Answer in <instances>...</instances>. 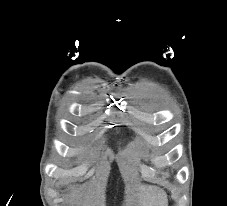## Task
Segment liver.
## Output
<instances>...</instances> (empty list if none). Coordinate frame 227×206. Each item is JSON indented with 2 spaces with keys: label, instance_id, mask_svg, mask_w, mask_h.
Masks as SVG:
<instances>
[{
  "label": "liver",
  "instance_id": "6515ba94",
  "mask_svg": "<svg viewBox=\"0 0 227 206\" xmlns=\"http://www.w3.org/2000/svg\"><path fill=\"white\" fill-rule=\"evenodd\" d=\"M77 191H75V194ZM137 199L139 206H165L166 193L155 186H142L138 189Z\"/></svg>",
  "mask_w": 227,
  "mask_h": 206
}]
</instances>
